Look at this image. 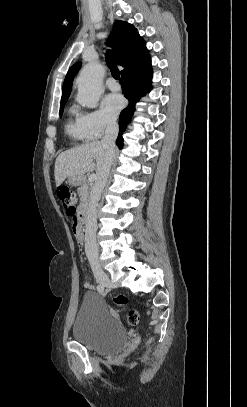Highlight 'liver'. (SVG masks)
<instances>
[{
	"mask_svg": "<svg viewBox=\"0 0 247 407\" xmlns=\"http://www.w3.org/2000/svg\"><path fill=\"white\" fill-rule=\"evenodd\" d=\"M109 157V151L100 141L87 143L61 153L55 162L56 186H60L69 176H83L93 170L96 171L98 177L105 168Z\"/></svg>",
	"mask_w": 247,
	"mask_h": 407,
	"instance_id": "liver-1",
	"label": "liver"
}]
</instances>
